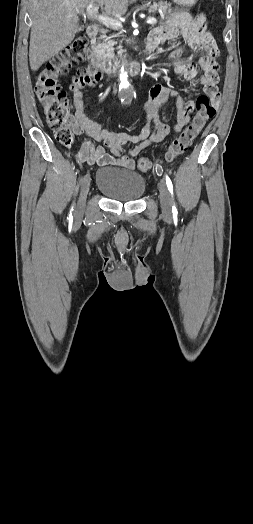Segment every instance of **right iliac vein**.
I'll return each mask as SVG.
<instances>
[{
  "instance_id": "obj_1",
  "label": "right iliac vein",
  "mask_w": 253,
  "mask_h": 524,
  "mask_svg": "<svg viewBox=\"0 0 253 524\" xmlns=\"http://www.w3.org/2000/svg\"><path fill=\"white\" fill-rule=\"evenodd\" d=\"M89 187H90V176L86 175L84 183L81 187V193H80L79 200L77 203V212H76L77 216H81L83 214Z\"/></svg>"
}]
</instances>
